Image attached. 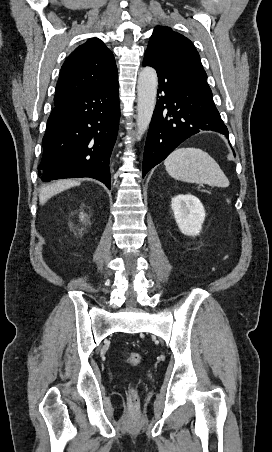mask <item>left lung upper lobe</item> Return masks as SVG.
<instances>
[{"label":"left lung upper lobe","instance_id":"1","mask_svg":"<svg viewBox=\"0 0 272 452\" xmlns=\"http://www.w3.org/2000/svg\"><path fill=\"white\" fill-rule=\"evenodd\" d=\"M159 61L178 65L206 80L200 56L192 42L169 27H156L146 53Z\"/></svg>","mask_w":272,"mask_h":452}]
</instances>
